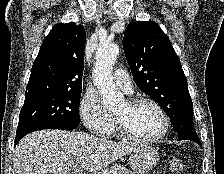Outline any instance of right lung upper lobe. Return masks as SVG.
Instances as JSON below:
<instances>
[{
  "mask_svg": "<svg viewBox=\"0 0 224 174\" xmlns=\"http://www.w3.org/2000/svg\"><path fill=\"white\" fill-rule=\"evenodd\" d=\"M85 41L82 25L56 24L33 63L26 95L82 89Z\"/></svg>",
  "mask_w": 224,
  "mask_h": 174,
  "instance_id": "cb5924a9",
  "label": "right lung upper lobe"
}]
</instances>
